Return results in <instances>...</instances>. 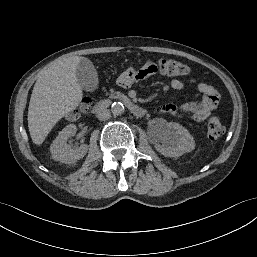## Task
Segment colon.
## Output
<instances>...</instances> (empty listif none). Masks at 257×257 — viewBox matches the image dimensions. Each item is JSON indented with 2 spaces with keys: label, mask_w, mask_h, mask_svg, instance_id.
<instances>
[{
  "label": "colon",
  "mask_w": 257,
  "mask_h": 257,
  "mask_svg": "<svg viewBox=\"0 0 257 257\" xmlns=\"http://www.w3.org/2000/svg\"><path fill=\"white\" fill-rule=\"evenodd\" d=\"M159 67V72L165 76H182L190 73V68L177 60L158 58L155 60ZM85 102L81 103L79 111L83 112L87 109ZM225 128L218 118H211L207 123V136L210 140H217L224 134Z\"/></svg>",
  "instance_id": "colon-1"
}]
</instances>
